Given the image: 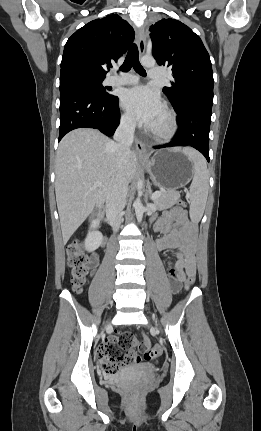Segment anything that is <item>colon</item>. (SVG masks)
I'll return each mask as SVG.
<instances>
[{
  "label": "colon",
  "mask_w": 261,
  "mask_h": 431,
  "mask_svg": "<svg viewBox=\"0 0 261 431\" xmlns=\"http://www.w3.org/2000/svg\"><path fill=\"white\" fill-rule=\"evenodd\" d=\"M181 207L186 206V202H179ZM66 260L70 270L71 281L75 291H81L86 282L89 271V259L82 244L78 240H72L66 246ZM195 279V274L186 277L185 286L189 288ZM145 342V341H144ZM138 344L133 334L123 332L110 338L100 349L102 358V369L107 374L117 373L123 366L133 365L140 361V356L135 351L136 347L141 349L142 344ZM162 343H157L151 347L144 356L146 361H154L161 352ZM136 390H133L135 393Z\"/></svg>",
  "instance_id": "5ec220e1"
}]
</instances>
